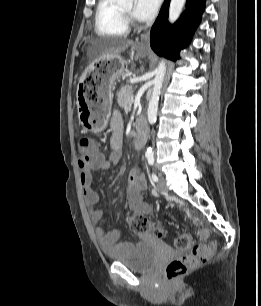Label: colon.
<instances>
[{
    "label": "colon",
    "instance_id": "1",
    "mask_svg": "<svg viewBox=\"0 0 261 306\" xmlns=\"http://www.w3.org/2000/svg\"><path fill=\"white\" fill-rule=\"evenodd\" d=\"M103 159L101 150L91 143L88 137H82L78 142V163L80 167L86 168L99 163ZM130 229L135 233L153 232L162 235L159 227L153 225L144 215L137 214L127 218ZM206 231L201 230L200 235L206 236ZM175 247L181 251H186L182 255L172 259L166 265L165 277L168 281L175 280L189 270L205 263L210 257L215 243L196 245L191 234L181 232L174 240Z\"/></svg>",
    "mask_w": 261,
    "mask_h": 306
}]
</instances>
